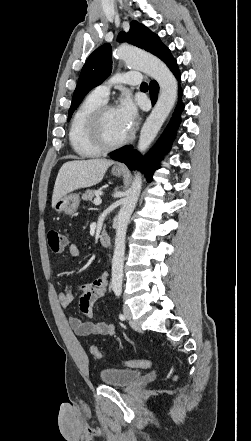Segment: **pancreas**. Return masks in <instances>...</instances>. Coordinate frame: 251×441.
Listing matches in <instances>:
<instances>
[{"mask_svg":"<svg viewBox=\"0 0 251 441\" xmlns=\"http://www.w3.org/2000/svg\"><path fill=\"white\" fill-rule=\"evenodd\" d=\"M98 193L97 190L88 189L85 191V193L82 195V199L85 201H91L93 197Z\"/></svg>","mask_w":251,"mask_h":441,"instance_id":"cf45deb5","label":"pancreas"}]
</instances>
